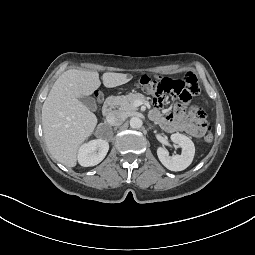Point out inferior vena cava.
Here are the masks:
<instances>
[{"mask_svg":"<svg viewBox=\"0 0 255 255\" xmlns=\"http://www.w3.org/2000/svg\"><path fill=\"white\" fill-rule=\"evenodd\" d=\"M125 114L120 111H113L106 117L108 124L112 126H119L125 121Z\"/></svg>","mask_w":255,"mask_h":255,"instance_id":"602c4592","label":"inferior vena cava"}]
</instances>
